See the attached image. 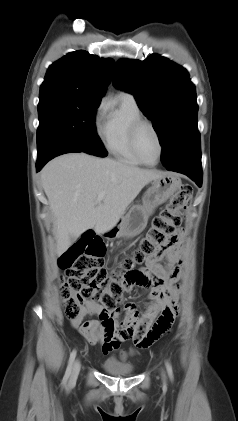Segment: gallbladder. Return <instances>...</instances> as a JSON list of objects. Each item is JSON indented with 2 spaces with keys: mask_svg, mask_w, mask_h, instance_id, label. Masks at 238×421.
<instances>
[{
  "mask_svg": "<svg viewBox=\"0 0 238 421\" xmlns=\"http://www.w3.org/2000/svg\"><path fill=\"white\" fill-rule=\"evenodd\" d=\"M75 239L74 238H71V242H73Z\"/></svg>",
  "mask_w": 238,
  "mask_h": 421,
  "instance_id": "obj_1",
  "label": "gallbladder"
}]
</instances>
